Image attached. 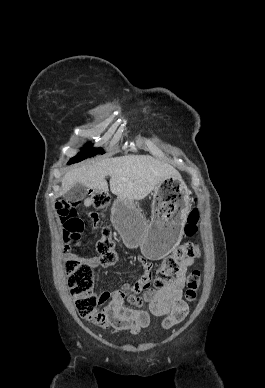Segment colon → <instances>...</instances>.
<instances>
[{
  "label": "colon",
  "instance_id": "1",
  "mask_svg": "<svg viewBox=\"0 0 265 388\" xmlns=\"http://www.w3.org/2000/svg\"><path fill=\"white\" fill-rule=\"evenodd\" d=\"M91 204L99 210H104L109 206L110 197L104 191H93L90 193ZM77 203L69 201H58L55 205L57 214L63 224V236L67 244L77 243L85 229V224L78 216L76 210ZM199 212L193 209L187 219L184 232L187 236H194L198 231ZM69 250V247L66 246ZM100 254V261L104 266H113L119 263L120 257L115 249L114 235L109 227H104L102 237L97 244ZM67 259L65 270L68 277V284L74 298L76 309L84 319L100 325L104 321V315L97 306L100 297L95 292L96 274L93 268L79 259L75 254ZM200 255L198 245L185 243L178 246L171 254L166 256L155 273L153 288L144 295L133 292L132 287L125 286L122 290L128 301L135 306H141L145 302L152 300L158 290H162L171 283L173 275L177 273L179 265L187 259H194ZM200 286V272L193 271L187 281L185 299L192 302L196 299Z\"/></svg>",
  "mask_w": 265,
  "mask_h": 388
}]
</instances>
